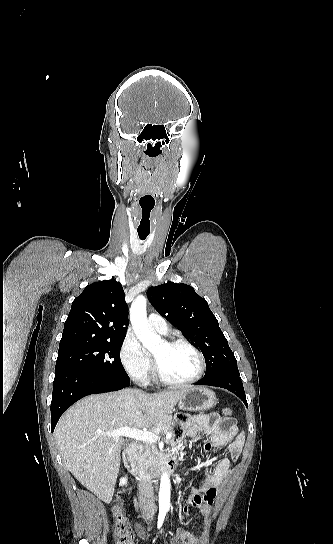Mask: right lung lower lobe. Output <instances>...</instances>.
Listing matches in <instances>:
<instances>
[{
	"instance_id": "1",
	"label": "right lung lower lobe",
	"mask_w": 333,
	"mask_h": 544,
	"mask_svg": "<svg viewBox=\"0 0 333 544\" xmlns=\"http://www.w3.org/2000/svg\"><path fill=\"white\" fill-rule=\"evenodd\" d=\"M130 385V380L116 381L106 377H96L85 371L68 367L55 369L51 401V431L63 414L79 399L95 393L111 392Z\"/></svg>"
}]
</instances>
